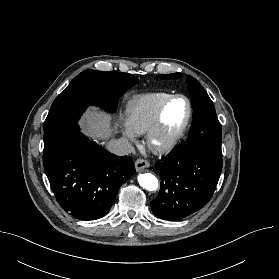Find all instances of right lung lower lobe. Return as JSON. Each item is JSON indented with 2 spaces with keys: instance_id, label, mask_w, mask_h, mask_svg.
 <instances>
[{
  "instance_id": "obj_1",
  "label": "right lung lower lobe",
  "mask_w": 279,
  "mask_h": 279,
  "mask_svg": "<svg viewBox=\"0 0 279 279\" xmlns=\"http://www.w3.org/2000/svg\"><path fill=\"white\" fill-rule=\"evenodd\" d=\"M44 168L61 207L87 221L105 216L120 186L135 173L131 157L111 154L80 133Z\"/></svg>"
}]
</instances>
